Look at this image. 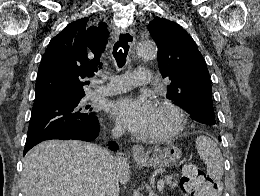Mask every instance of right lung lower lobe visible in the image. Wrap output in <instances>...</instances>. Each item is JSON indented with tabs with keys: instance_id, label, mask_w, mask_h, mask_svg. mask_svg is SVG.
I'll use <instances>...</instances> for the list:
<instances>
[{
	"instance_id": "right-lung-lower-lobe-1",
	"label": "right lung lower lobe",
	"mask_w": 260,
	"mask_h": 196,
	"mask_svg": "<svg viewBox=\"0 0 260 196\" xmlns=\"http://www.w3.org/2000/svg\"><path fill=\"white\" fill-rule=\"evenodd\" d=\"M99 134V122L98 119H96L95 122L85 125L83 127L71 130V131H67V132H63V133H59L56 135H52L40 140H37L31 144H25V148H24V153L23 156L32 148L34 147L36 144L45 141V140H51V139H60V140H68V139H75V140H83V141H87L90 142L92 140H94ZM109 148L113 151H116L118 149V145L115 142H110L109 143Z\"/></svg>"
}]
</instances>
